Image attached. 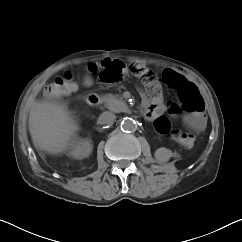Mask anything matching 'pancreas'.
Returning <instances> with one entry per match:
<instances>
[{"instance_id": "obj_1", "label": "pancreas", "mask_w": 242, "mask_h": 242, "mask_svg": "<svg viewBox=\"0 0 242 242\" xmlns=\"http://www.w3.org/2000/svg\"><path fill=\"white\" fill-rule=\"evenodd\" d=\"M105 106L113 112H123L127 109L126 103L120 95L108 94L103 96Z\"/></svg>"}]
</instances>
